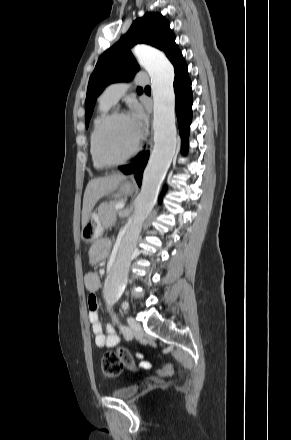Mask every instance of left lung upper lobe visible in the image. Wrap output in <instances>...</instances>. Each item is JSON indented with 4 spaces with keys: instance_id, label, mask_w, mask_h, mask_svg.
I'll use <instances>...</instances> for the list:
<instances>
[{
    "instance_id": "left-lung-upper-lobe-1",
    "label": "left lung upper lobe",
    "mask_w": 291,
    "mask_h": 440,
    "mask_svg": "<svg viewBox=\"0 0 291 440\" xmlns=\"http://www.w3.org/2000/svg\"><path fill=\"white\" fill-rule=\"evenodd\" d=\"M138 43L164 51L171 62L181 55L168 20L160 13L149 12L136 19L129 31L100 56L90 76L85 101L86 128L96 98L103 89L111 83L130 80L139 71V65L130 52L131 47ZM138 93H142L139 87Z\"/></svg>"
}]
</instances>
